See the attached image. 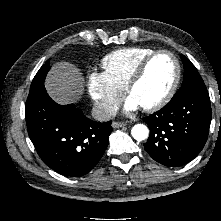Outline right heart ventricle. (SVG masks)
<instances>
[{
    "mask_svg": "<svg viewBox=\"0 0 221 221\" xmlns=\"http://www.w3.org/2000/svg\"><path fill=\"white\" fill-rule=\"evenodd\" d=\"M155 51L149 47H128L114 50L101 62L104 73L122 90L132 77L138 64Z\"/></svg>",
    "mask_w": 221,
    "mask_h": 221,
    "instance_id": "e07e8e85",
    "label": "right heart ventricle"
}]
</instances>
